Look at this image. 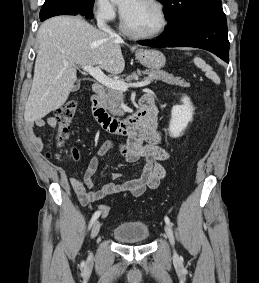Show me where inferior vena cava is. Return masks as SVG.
Here are the masks:
<instances>
[{
	"label": "inferior vena cava",
	"instance_id": "obj_1",
	"mask_svg": "<svg viewBox=\"0 0 259 283\" xmlns=\"http://www.w3.org/2000/svg\"><path fill=\"white\" fill-rule=\"evenodd\" d=\"M98 28L112 38L119 39V36L106 24L103 15H99L97 19Z\"/></svg>",
	"mask_w": 259,
	"mask_h": 283
}]
</instances>
